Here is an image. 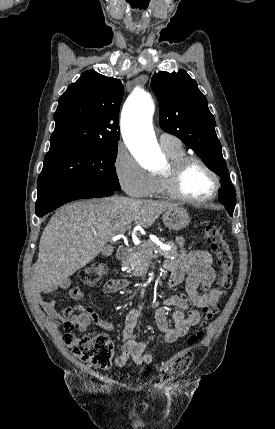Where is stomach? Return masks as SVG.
Instances as JSON below:
<instances>
[{"instance_id": "0dacf381", "label": "stomach", "mask_w": 275, "mask_h": 429, "mask_svg": "<svg viewBox=\"0 0 275 429\" xmlns=\"http://www.w3.org/2000/svg\"><path fill=\"white\" fill-rule=\"evenodd\" d=\"M162 220L166 227L178 231L188 226L190 216L184 208L176 206L167 209L162 216Z\"/></svg>"}]
</instances>
